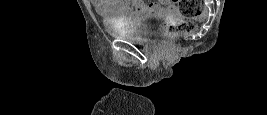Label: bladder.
<instances>
[{"mask_svg":"<svg viewBox=\"0 0 267 115\" xmlns=\"http://www.w3.org/2000/svg\"><path fill=\"white\" fill-rule=\"evenodd\" d=\"M163 20V16L155 13L142 15L138 21L130 24L111 25L108 27L110 34L119 39L143 42L151 39L157 25Z\"/></svg>","mask_w":267,"mask_h":115,"instance_id":"bladder-1","label":"bladder"}]
</instances>
